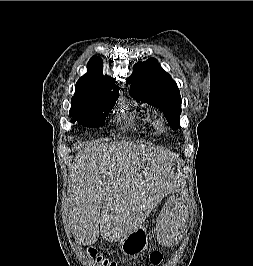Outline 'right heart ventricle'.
<instances>
[{"label":"right heart ventricle","mask_w":253,"mask_h":266,"mask_svg":"<svg viewBox=\"0 0 253 266\" xmlns=\"http://www.w3.org/2000/svg\"><path fill=\"white\" fill-rule=\"evenodd\" d=\"M134 119H135V115L134 114H130L129 116H127V121H128L129 124H132Z\"/></svg>","instance_id":"obj_1"}]
</instances>
